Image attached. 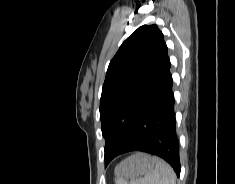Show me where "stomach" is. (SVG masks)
<instances>
[{
	"instance_id": "1",
	"label": "stomach",
	"mask_w": 235,
	"mask_h": 184,
	"mask_svg": "<svg viewBox=\"0 0 235 184\" xmlns=\"http://www.w3.org/2000/svg\"><path fill=\"white\" fill-rule=\"evenodd\" d=\"M155 168V162L149 154L136 152L123 162H120L114 170L116 180H136L138 176L149 174Z\"/></svg>"
}]
</instances>
